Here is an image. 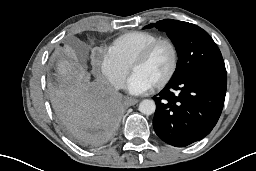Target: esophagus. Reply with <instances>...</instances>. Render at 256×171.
Wrapping results in <instances>:
<instances>
[{"mask_svg":"<svg viewBox=\"0 0 256 171\" xmlns=\"http://www.w3.org/2000/svg\"><path fill=\"white\" fill-rule=\"evenodd\" d=\"M139 102V100L138 99H135V98H126L125 99V105L126 106H133V105H135V104H137Z\"/></svg>","mask_w":256,"mask_h":171,"instance_id":"34e87169","label":"esophagus"}]
</instances>
